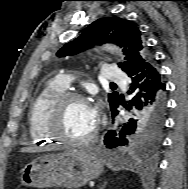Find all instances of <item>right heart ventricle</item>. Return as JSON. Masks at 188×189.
Here are the masks:
<instances>
[{"label": "right heart ventricle", "mask_w": 188, "mask_h": 189, "mask_svg": "<svg viewBox=\"0 0 188 189\" xmlns=\"http://www.w3.org/2000/svg\"><path fill=\"white\" fill-rule=\"evenodd\" d=\"M66 91L58 79L49 81L32 101L28 111V130L33 143H50L54 138L46 130L47 113L52 103Z\"/></svg>", "instance_id": "right-heart-ventricle-1"}]
</instances>
